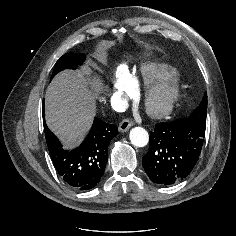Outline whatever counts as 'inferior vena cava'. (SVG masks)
Returning <instances> with one entry per match:
<instances>
[{
	"instance_id": "602c4592",
	"label": "inferior vena cava",
	"mask_w": 236,
	"mask_h": 236,
	"mask_svg": "<svg viewBox=\"0 0 236 236\" xmlns=\"http://www.w3.org/2000/svg\"><path fill=\"white\" fill-rule=\"evenodd\" d=\"M112 106L116 111L123 112L127 108V103L124 101L123 98L113 97Z\"/></svg>"
}]
</instances>
